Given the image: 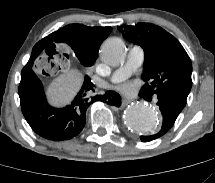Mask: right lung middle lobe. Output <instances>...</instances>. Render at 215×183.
Returning a JSON list of instances; mask_svg holds the SVG:
<instances>
[{"label": "right lung middle lobe", "mask_w": 215, "mask_h": 183, "mask_svg": "<svg viewBox=\"0 0 215 183\" xmlns=\"http://www.w3.org/2000/svg\"><path fill=\"white\" fill-rule=\"evenodd\" d=\"M47 38H52L51 35L47 36ZM65 43V42H63ZM67 44L70 45V47L73 49L75 55L79 59L80 63L84 67L91 66L96 58H93L89 56L83 49L81 43L79 42V39L76 37H70L67 41ZM68 57V56H67Z\"/></svg>", "instance_id": "1"}]
</instances>
